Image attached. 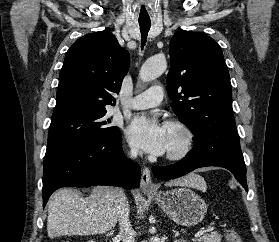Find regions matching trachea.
<instances>
[{"label": "trachea", "instance_id": "3493384b", "mask_svg": "<svg viewBox=\"0 0 279 242\" xmlns=\"http://www.w3.org/2000/svg\"><path fill=\"white\" fill-rule=\"evenodd\" d=\"M139 25H140V31H141V35H142V39H141V48H143L145 46L146 43V39H147V35L151 26V22L150 21H139Z\"/></svg>", "mask_w": 279, "mask_h": 242}]
</instances>
